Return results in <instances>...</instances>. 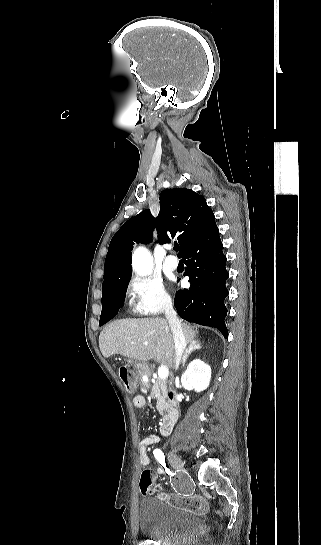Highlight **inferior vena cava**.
I'll return each mask as SVG.
<instances>
[{
	"label": "inferior vena cava",
	"instance_id": "602c4592",
	"mask_svg": "<svg viewBox=\"0 0 321 545\" xmlns=\"http://www.w3.org/2000/svg\"><path fill=\"white\" fill-rule=\"evenodd\" d=\"M165 317L171 327L174 347H175V369H178L182 355L185 351L186 341L182 331L181 321L177 317L176 311L173 309L172 301H166L165 303Z\"/></svg>",
	"mask_w": 321,
	"mask_h": 545
}]
</instances>
